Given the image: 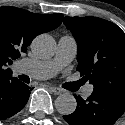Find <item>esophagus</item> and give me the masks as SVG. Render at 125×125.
<instances>
[{"label": "esophagus", "mask_w": 125, "mask_h": 125, "mask_svg": "<svg viewBox=\"0 0 125 125\" xmlns=\"http://www.w3.org/2000/svg\"><path fill=\"white\" fill-rule=\"evenodd\" d=\"M49 89L51 92H53L55 95H59L62 93V90L55 86H49Z\"/></svg>", "instance_id": "34e87169"}]
</instances>
